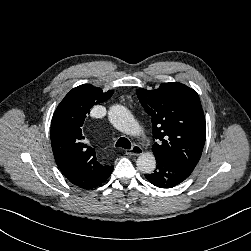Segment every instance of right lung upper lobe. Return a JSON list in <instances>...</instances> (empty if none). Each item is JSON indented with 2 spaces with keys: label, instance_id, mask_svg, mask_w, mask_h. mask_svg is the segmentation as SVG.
<instances>
[{
  "label": "right lung upper lobe",
  "instance_id": "right-lung-upper-lobe-1",
  "mask_svg": "<svg viewBox=\"0 0 251 251\" xmlns=\"http://www.w3.org/2000/svg\"><path fill=\"white\" fill-rule=\"evenodd\" d=\"M113 90L103 92L90 84L72 89L55 110L51 122V145L60 171L74 185L87 188L111 166L100 164L87 145L82 126L92 106L107 101Z\"/></svg>",
  "mask_w": 251,
  "mask_h": 251
}]
</instances>
